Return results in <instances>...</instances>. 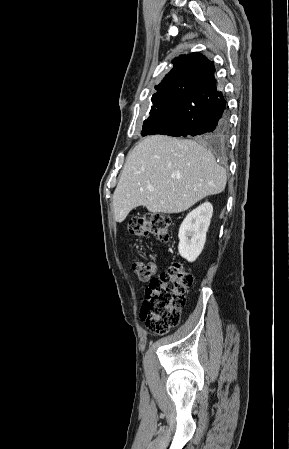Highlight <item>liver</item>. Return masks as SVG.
<instances>
[{
    "instance_id": "obj_1",
    "label": "liver",
    "mask_w": 289,
    "mask_h": 449,
    "mask_svg": "<svg viewBox=\"0 0 289 449\" xmlns=\"http://www.w3.org/2000/svg\"><path fill=\"white\" fill-rule=\"evenodd\" d=\"M226 181L225 169L196 141L146 137L128 155L114 191L115 221H124L138 206L152 213L183 212L206 196L223 192Z\"/></svg>"
}]
</instances>
